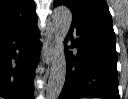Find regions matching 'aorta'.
<instances>
[{"label": "aorta", "instance_id": "1", "mask_svg": "<svg viewBox=\"0 0 128 99\" xmlns=\"http://www.w3.org/2000/svg\"><path fill=\"white\" fill-rule=\"evenodd\" d=\"M52 18L56 44L46 88V97L47 99H58L66 76L64 40L72 23V13L66 6H58L54 9Z\"/></svg>", "mask_w": 128, "mask_h": 99}]
</instances>
